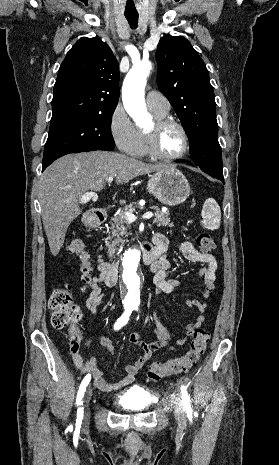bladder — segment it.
Wrapping results in <instances>:
<instances>
[{
	"label": "bladder",
	"instance_id": "bladder-1",
	"mask_svg": "<svg viewBox=\"0 0 279 465\" xmlns=\"http://www.w3.org/2000/svg\"><path fill=\"white\" fill-rule=\"evenodd\" d=\"M116 403L126 411H144L151 405V396L144 387L133 386L119 393Z\"/></svg>",
	"mask_w": 279,
	"mask_h": 465
}]
</instances>
